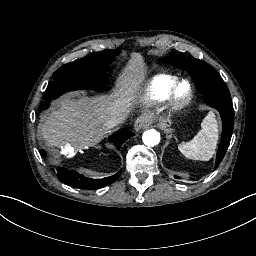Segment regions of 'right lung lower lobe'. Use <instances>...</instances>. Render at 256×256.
Masks as SVG:
<instances>
[{"label":"right lung lower lobe","mask_w":256,"mask_h":256,"mask_svg":"<svg viewBox=\"0 0 256 256\" xmlns=\"http://www.w3.org/2000/svg\"><path fill=\"white\" fill-rule=\"evenodd\" d=\"M133 135L134 133L131 132L130 130L123 129L119 131L116 135L111 137L110 140L116 145L118 149H120L121 145ZM40 154L43 157L46 156V153L43 149L40 150ZM120 174L121 170L110 177H105L102 179H89L83 175L77 174L75 171L72 170H67L65 168L57 169V177L61 182L70 185L74 188L89 190L98 189L115 182L117 178L120 176Z\"/></svg>","instance_id":"right-lung-lower-lobe-1"}]
</instances>
